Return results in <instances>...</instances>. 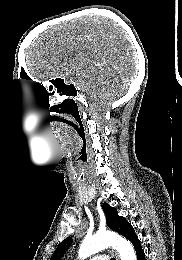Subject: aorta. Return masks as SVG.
<instances>
[{
	"instance_id": "obj_1",
	"label": "aorta",
	"mask_w": 182,
	"mask_h": 260,
	"mask_svg": "<svg viewBox=\"0 0 182 260\" xmlns=\"http://www.w3.org/2000/svg\"><path fill=\"white\" fill-rule=\"evenodd\" d=\"M110 246L119 252L120 260H136V254L130 242L111 232L96 233L91 237H86L80 245L78 257L84 260Z\"/></svg>"
}]
</instances>
